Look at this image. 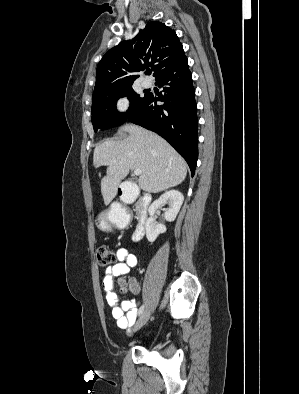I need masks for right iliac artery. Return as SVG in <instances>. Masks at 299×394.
<instances>
[{
  "label": "right iliac artery",
  "instance_id": "82829eb1",
  "mask_svg": "<svg viewBox=\"0 0 299 394\" xmlns=\"http://www.w3.org/2000/svg\"><path fill=\"white\" fill-rule=\"evenodd\" d=\"M144 308H145L144 305H142V306L139 308L138 315H141V314L143 313Z\"/></svg>",
  "mask_w": 299,
  "mask_h": 394
}]
</instances>
